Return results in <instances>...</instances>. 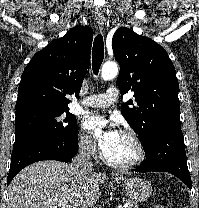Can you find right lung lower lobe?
I'll use <instances>...</instances> for the list:
<instances>
[{
	"mask_svg": "<svg viewBox=\"0 0 199 208\" xmlns=\"http://www.w3.org/2000/svg\"><path fill=\"white\" fill-rule=\"evenodd\" d=\"M77 149L78 135L77 138L70 143L38 138L14 146L7 185L24 167L42 160L68 162L75 156Z\"/></svg>",
	"mask_w": 199,
	"mask_h": 208,
	"instance_id": "obj_1",
	"label": "right lung lower lobe"
}]
</instances>
